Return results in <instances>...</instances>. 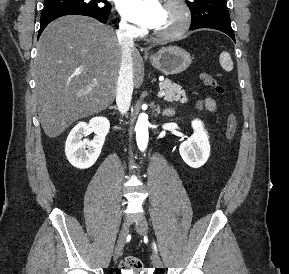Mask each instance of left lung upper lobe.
I'll return each instance as SVG.
<instances>
[{"label": "left lung upper lobe", "mask_w": 289, "mask_h": 274, "mask_svg": "<svg viewBox=\"0 0 289 274\" xmlns=\"http://www.w3.org/2000/svg\"><path fill=\"white\" fill-rule=\"evenodd\" d=\"M192 14L191 27L231 25L226 0H186Z\"/></svg>", "instance_id": "1"}]
</instances>
